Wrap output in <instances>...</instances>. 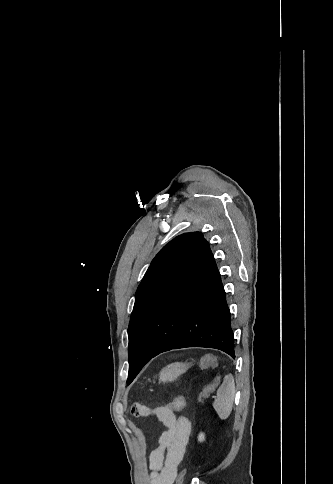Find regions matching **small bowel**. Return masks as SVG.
<instances>
[{
	"label": "small bowel",
	"instance_id": "1",
	"mask_svg": "<svg viewBox=\"0 0 333 484\" xmlns=\"http://www.w3.org/2000/svg\"><path fill=\"white\" fill-rule=\"evenodd\" d=\"M134 411L138 415H154L166 427L159 438V446L150 454V479L151 484H173L190 438V420L165 406L150 409L137 405Z\"/></svg>",
	"mask_w": 333,
	"mask_h": 484
}]
</instances>
